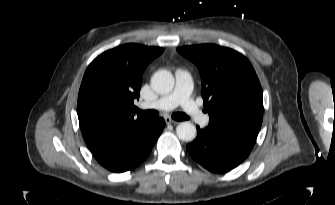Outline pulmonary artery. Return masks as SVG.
Wrapping results in <instances>:
<instances>
[{"label": "pulmonary artery", "mask_w": 335, "mask_h": 205, "mask_svg": "<svg viewBox=\"0 0 335 205\" xmlns=\"http://www.w3.org/2000/svg\"><path fill=\"white\" fill-rule=\"evenodd\" d=\"M193 81L191 74L183 69L175 73V87L173 91L154 102H144L143 109L171 110L180 106L184 113L194 122L205 126L209 122V116L202 113L199 107L191 98Z\"/></svg>", "instance_id": "1"}]
</instances>
